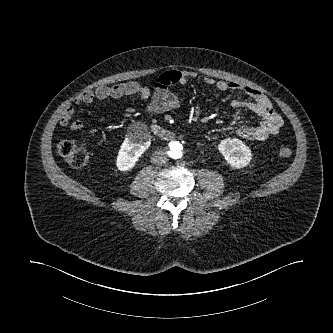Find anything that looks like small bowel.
Instances as JSON below:
<instances>
[{
	"mask_svg": "<svg viewBox=\"0 0 333 333\" xmlns=\"http://www.w3.org/2000/svg\"><path fill=\"white\" fill-rule=\"evenodd\" d=\"M197 73L191 70H169L163 72L156 80L153 91L135 81L116 84L113 86H101L95 90H89L79 94L74 99L75 105L90 104L94 100L118 99L132 96L142 100L150 99L145 108L148 115L160 114L174 110L179 107L180 100L176 93L170 90L171 86H184ZM206 85H214L220 92H244L251 98V101L234 100L231 104L233 109L246 108L255 113L261 122L257 126L242 125L237 129V134L248 140L263 141L271 135H276L283 126L282 117L273 109L269 99L259 90L244 86L234 81L214 80L211 77H204ZM75 113L73 105L67 106L59 120L61 126H68L73 131L82 130L84 122L73 120Z\"/></svg>",
	"mask_w": 333,
	"mask_h": 333,
	"instance_id": "1",
	"label": "small bowel"
}]
</instances>
